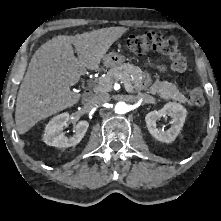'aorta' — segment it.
Masks as SVG:
<instances>
[{"mask_svg": "<svg viewBox=\"0 0 221 221\" xmlns=\"http://www.w3.org/2000/svg\"><path fill=\"white\" fill-rule=\"evenodd\" d=\"M114 110L117 114H125L128 111V105L125 102H118Z\"/></svg>", "mask_w": 221, "mask_h": 221, "instance_id": "1", "label": "aorta"}]
</instances>
